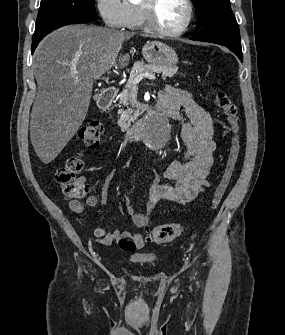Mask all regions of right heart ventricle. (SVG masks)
<instances>
[{
    "label": "right heart ventricle",
    "mask_w": 285,
    "mask_h": 335,
    "mask_svg": "<svg viewBox=\"0 0 285 335\" xmlns=\"http://www.w3.org/2000/svg\"><path fill=\"white\" fill-rule=\"evenodd\" d=\"M134 16L128 26L132 29H139L143 26V16H142V1H130ZM163 60H171L170 58H164Z\"/></svg>",
    "instance_id": "1"
}]
</instances>
